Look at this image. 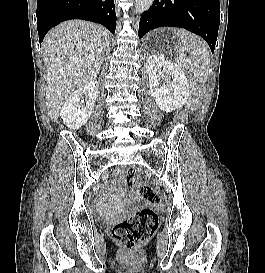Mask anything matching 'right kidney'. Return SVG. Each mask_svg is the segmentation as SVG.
Returning a JSON list of instances; mask_svg holds the SVG:
<instances>
[{
    "label": "right kidney",
    "instance_id": "1",
    "mask_svg": "<svg viewBox=\"0 0 265 273\" xmlns=\"http://www.w3.org/2000/svg\"><path fill=\"white\" fill-rule=\"evenodd\" d=\"M98 86L97 81H89L66 99L60 110V117L70 129L81 128L90 118L97 98ZM83 94H86L85 103L81 101Z\"/></svg>",
    "mask_w": 265,
    "mask_h": 273
}]
</instances>
